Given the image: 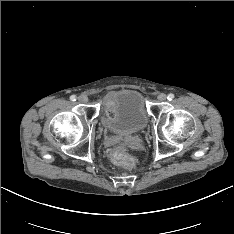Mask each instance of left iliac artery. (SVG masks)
I'll return each mask as SVG.
<instances>
[{
	"label": "left iliac artery",
	"mask_w": 234,
	"mask_h": 234,
	"mask_svg": "<svg viewBox=\"0 0 234 234\" xmlns=\"http://www.w3.org/2000/svg\"><path fill=\"white\" fill-rule=\"evenodd\" d=\"M173 98H174V94L172 93L168 94V97H167L168 100H172Z\"/></svg>",
	"instance_id": "left-iliac-artery-1"
}]
</instances>
